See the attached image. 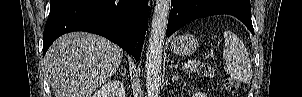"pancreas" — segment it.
<instances>
[{
    "label": "pancreas",
    "instance_id": "pancreas-1",
    "mask_svg": "<svg viewBox=\"0 0 302 97\" xmlns=\"http://www.w3.org/2000/svg\"><path fill=\"white\" fill-rule=\"evenodd\" d=\"M200 69L199 63L193 64L189 69L187 70L188 73H194Z\"/></svg>",
    "mask_w": 302,
    "mask_h": 97
}]
</instances>
